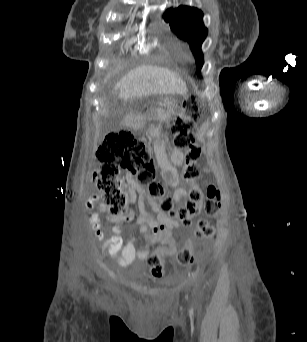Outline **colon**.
Segmentation results:
<instances>
[{
	"label": "colon",
	"instance_id": "obj_1",
	"mask_svg": "<svg viewBox=\"0 0 307 342\" xmlns=\"http://www.w3.org/2000/svg\"><path fill=\"white\" fill-rule=\"evenodd\" d=\"M200 118L198 105L195 101H187L181 113L172 118L170 131L174 138V145L184 153L185 171L183 178L187 181L197 180L202 171L197 161L201 156V148L194 141L193 128ZM99 167L92 175V181L100 190L99 215L117 220L130 219L127 212V196L122 187L120 174L128 172L136 175L138 180L147 185L150 195L157 199V207L170 215L185 226H190L192 219L196 217L201 208L197 205L202 203V210L208 219L200 218L194 225L184 246L178 252L177 260L181 265L192 266L194 256L192 254L196 239L213 238L215 235L212 219L220 209V192L214 184L206 186L205 200L202 202L203 191L194 188L191 191L192 200L185 205L174 208L171 199L164 194L163 185L153 180L154 166L152 156L144 141L126 130L111 131L98 149ZM167 226H153V242L158 243L155 253L148 257V263L152 267L149 282L159 280L163 275L161 254H176L177 239L171 236ZM149 247L147 244L144 246Z\"/></svg>",
	"mask_w": 307,
	"mask_h": 342
}]
</instances>
